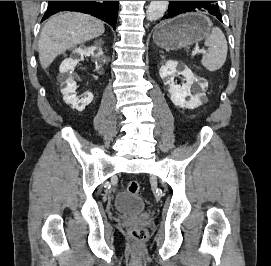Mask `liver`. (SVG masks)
<instances>
[{
    "mask_svg": "<svg viewBox=\"0 0 271 266\" xmlns=\"http://www.w3.org/2000/svg\"><path fill=\"white\" fill-rule=\"evenodd\" d=\"M104 24L90 15L65 12L50 18L43 27L38 43L39 60L46 69L67 49L101 36Z\"/></svg>",
    "mask_w": 271,
    "mask_h": 266,
    "instance_id": "obj_1",
    "label": "liver"
}]
</instances>
